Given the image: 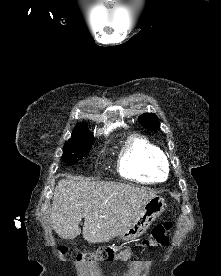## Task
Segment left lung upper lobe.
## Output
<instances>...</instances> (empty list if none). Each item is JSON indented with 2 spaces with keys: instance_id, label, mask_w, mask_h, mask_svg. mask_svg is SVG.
<instances>
[{
  "instance_id": "1",
  "label": "left lung upper lobe",
  "mask_w": 221,
  "mask_h": 276,
  "mask_svg": "<svg viewBox=\"0 0 221 276\" xmlns=\"http://www.w3.org/2000/svg\"><path fill=\"white\" fill-rule=\"evenodd\" d=\"M143 127L150 131H157L160 128L158 117L153 113H144L138 118Z\"/></svg>"
}]
</instances>
